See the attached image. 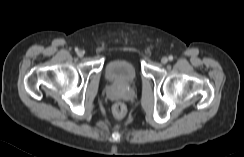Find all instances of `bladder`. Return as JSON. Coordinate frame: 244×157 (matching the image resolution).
<instances>
[{
    "label": "bladder",
    "instance_id": "31cf9c89",
    "mask_svg": "<svg viewBox=\"0 0 244 157\" xmlns=\"http://www.w3.org/2000/svg\"><path fill=\"white\" fill-rule=\"evenodd\" d=\"M103 75L107 82L118 88L131 87L138 80L136 66L123 58L109 60L103 68Z\"/></svg>",
    "mask_w": 244,
    "mask_h": 157
}]
</instances>
